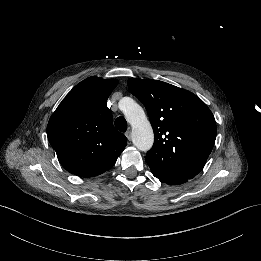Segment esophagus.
Instances as JSON below:
<instances>
[{
  "instance_id": "1",
  "label": "esophagus",
  "mask_w": 261,
  "mask_h": 261,
  "mask_svg": "<svg viewBox=\"0 0 261 261\" xmlns=\"http://www.w3.org/2000/svg\"><path fill=\"white\" fill-rule=\"evenodd\" d=\"M125 136L127 137V139L130 141L131 140V132L130 131H126L125 132Z\"/></svg>"
}]
</instances>
